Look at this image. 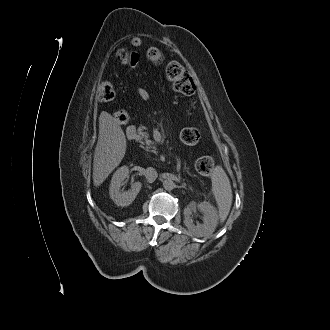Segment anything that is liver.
I'll return each instance as SVG.
<instances>
[{
    "label": "liver",
    "mask_w": 330,
    "mask_h": 330,
    "mask_svg": "<svg viewBox=\"0 0 330 330\" xmlns=\"http://www.w3.org/2000/svg\"><path fill=\"white\" fill-rule=\"evenodd\" d=\"M126 138L119 123L110 114L99 117V136L93 159V184L101 185L120 164L126 152Z\"/></svg>",
    "instance_id": "liver-1"
}]
</instances>
